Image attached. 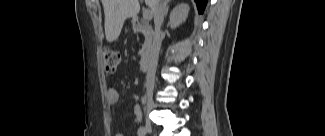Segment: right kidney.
Instances as JSON below:
<instances>
[{
  "label": "right kidney",
  "instance_id": "obj_1",
  "mask_svg": "<svg viewBox=\"0 0 325 136\" xmlns=\"http://www.w3.org/2000/svg\"><path fill=\"white\" fill-rule=\"evenodd\" d=\"M189 12V6L187 4H179L176 6L170 14V26L175 29L187 18Z\"/></svg>",
  "mask_w": 325,
  "mask_h": 136
}]
</instances>
